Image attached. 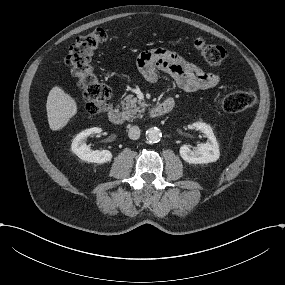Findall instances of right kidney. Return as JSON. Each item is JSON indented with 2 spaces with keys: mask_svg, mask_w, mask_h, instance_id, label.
Returning <instances> with one entry per match:
<instances>
[{
  "mask_svg": "<svg viewBox=\"0 0 285 285\" xmlns=\"http://www.w3.org/2000/svg\"><path fill=\"white\" fill-rule=\"evenodd\" d=\"M102 129L98 127H93L82 131L77 134L73 139L71 144V150L76 154L80 159L87 162L94 163H105L111 161L112 154L108 150H91L88 145H86L85 140L91 134L101 133Z\"/></svg>",
  "mask_w": 285,
  "mask_h": 285,
  "instance_id": "right-kidney-1",
  "label": "right kidney"
}]
</instances>
